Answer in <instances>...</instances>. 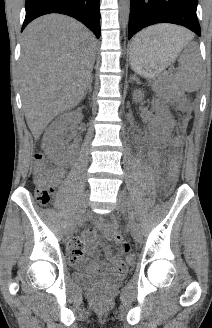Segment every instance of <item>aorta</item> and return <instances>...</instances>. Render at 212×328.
<instances>
[{
    "label": "aorta",
    "mask_w": 212,
    "mask_h": 328,
    "mask_svg": "<svg viewBox=\"0 0 212 328\" xmlns=\"http://www.w3.org/2000/svg\"><path fill=\"white\" fill-rule=\"evenodd\" d=\"M119 9H120V22L122 28L125 29L127 27L128 20H129L130 0H120Z\"/></svg>",
    "instance_id": "aorta-1"
}]
</instances>
